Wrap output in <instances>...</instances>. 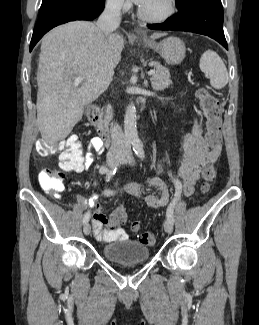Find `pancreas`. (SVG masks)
<instances>
[{
  "instance_id": "obj_1",
  "label": "pancreas",
  "mask_w": 259,
  "mask_h": 325,
  "mask_svg": "<svg viewBox=\"0 0 259 325\" xmlns=\"http://www.w3.org/2000/svg\"><path fill=\"white\" fill-rule=\"evenodd\" d=\"M154 68L155 74L152 75V77L150 78L152 88L155 91H161L170 87V85L172 84V80L170 79V73L168 69L158 63L154 64ZM111 118L112 108L111 106H108L105 111L104 119L102 120V123L105 127H107Z\"/></svg>"
}]
</instances>
